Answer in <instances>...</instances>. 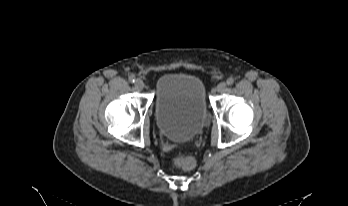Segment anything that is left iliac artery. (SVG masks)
Here are the masks:
<instances>
[{
	"label": "left iliac artery",
	"mask_w": 348,
	"mask_h": 206,
	"mask_svg": "<svg viewBox=\"0 0 348 206\" xmlns=\"http://www.w3.org/2000/svg\"><path fill=\"white\" fill-rule=\"evenodd\" d=\"M226 83H227L228 86H231L234 83V79L232 77H230V78L227 79Z\"/></svg>",
	"instance_id": "44dca946"
}]
</instances>
